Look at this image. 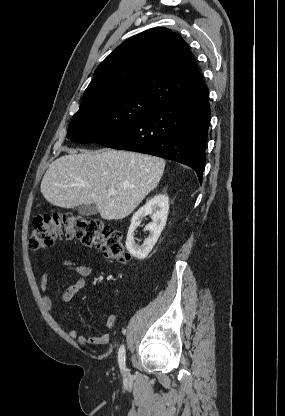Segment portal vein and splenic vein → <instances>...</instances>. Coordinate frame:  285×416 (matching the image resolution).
<instances>
[{"instance_id":"18ae733b","label":"portal vein and splenic vein","mask_w":285,"mask_h":416,"mask_svg":"<svg viewBox=\"0 0 285 416\" xmlns=\"http://www.w3.org/2000/svg\"><path fill=\"white\" fill-rule=\"evenodd\" d=\"M109 196H115L116 192L115 190H108Z\"/></svg>"}]
</instances>
